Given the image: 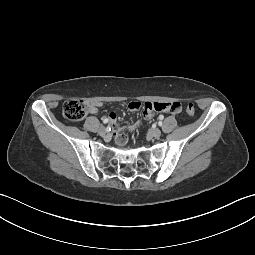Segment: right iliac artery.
Masks as SVG:
<instances>
[{"label":"right iliac artery","mask_w":255,"mask_h":255,"mask_svg":"<svg viewBox=\"0 0 255 255\" xmlns=\"http://www.w3.org/2000/svg\"><path fill=\"white\" fill-rule=\"evenodd\" d=\"M108 121H109L108 118L103 119V123H107Z\"/></svg>","instance_id":"1"}]
</instances>
